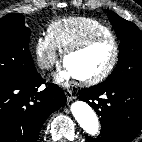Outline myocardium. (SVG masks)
<instances>
[{"instance_id": "f54148a6", "label": "myocardium", "mask_w": 142, "mask_h": 142, "mask_svg": "<svg viewBox=\"0 0 142 142\" xmlns=\"http://www.w3.org/2000/svg\"><path fill=\"white\" fill-rule=\"evenodd\" d=\"M100 40H109L110 42H112L113 48H114L112 59L110 63L108 64V66L100 73L91 77L77 78L78 81L83 85H87V86L96 85L104 81L113 72V70L115 69L117 65L119 55H120V47H119V43L117 39L112 34L111 35L93 34L69 46L66 50L63 51L62 61L65 64L66 59L70 55L77 53L79 51H82L88 46H90L91 44H93L94 42H97Z\"/></svg>"}]
</instances>
